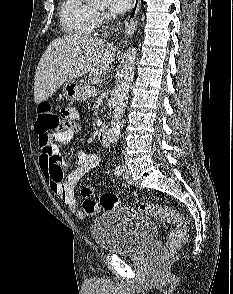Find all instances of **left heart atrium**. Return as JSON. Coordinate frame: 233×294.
<instances>
[{"instance_id": "39dd6f15", "label": "left heart atrium", "mask_w": 233, "mask_h": 294, "mask_svg": "<svg viewBox=\"0 0 233 294\" xmlns=\"http://www.w3.org/2000/svg\"><path fill=\"white\" fill-rule=\"evenodd\" d=\"M133 0H110L109 7L114 13H123L128 10Z\"/></svg>"}]
</instances>
